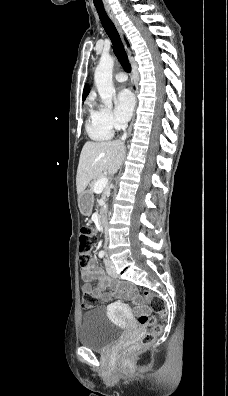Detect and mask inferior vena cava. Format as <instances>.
Returning a JSON list of instances; mask_svg holds the SVG:
<instances>
[{
  "instance_id": "1",
  "label": "inferior vena cava",
  "mask_w": 228,
  "mask_h": 396,
  "mask_svg": "<svg viewBox=\"0 0 228 396\" xmlns=\"http://www.w3.org/2000/svg\"><path fill=\"white\" fill-rule=\"evenodd\" d=\"M126 128H127V123H124L123 125H122V130L124 131V134H123V136H122V138H121V140H125L126 139V136H127V134H126ZM105 240H106V243H107V240H108V238H107V232H105Z\"/></svg>"
}]
</instances>
